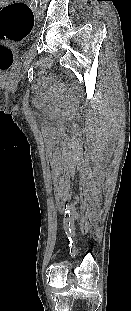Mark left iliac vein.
I'll list each match as a JSON object with an SVG mask.
<instances>
[{"label":"left iliac vein","instance_id":"left-iliac-vein-1","mask_svg":"<svg viewBox=\"0 0 131 311\" xmlns=\"http://www.w3.org/2000/svg\"><path fill=\"white\" fill-rule=\"evenodd\" d=\"M41 12H42V11H41V9L39 8V13H38V14L41 15Z\"/></svg>","mask_w":131,"mask_h":311}]
</instances>
